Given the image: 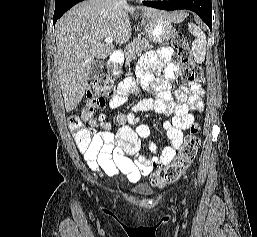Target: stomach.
<instances>
[{"label": "stomach", "mask_w": 257, "mask_h": 237, "mask_svg": "<svg viewBox=\"0 0 257 237\" xmlns=\"http://www.w3.org/2000/svg\"><path fill=\"white\" fill-rule=\"evenodd\" d=\"M146 37L154 43H165L171 39L174 29L171 21L162 15H142Z\"/></svg>", "instance_id": "obj_1"}]
</instances>
